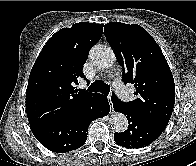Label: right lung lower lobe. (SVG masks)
Here are the masks:
<instances>
[{
    "label": "right lung lower lobe",
    "mask_w": 196,
    "mask_h": 166,
    "mask_svg": "<svg viewBox=\"0 0 196 166\" xmlns=\"http://www.w3.org/2000/svg\"><path fill=\"white\" fill-rule=\"evenodd\" d=\"M109 110L107 97L98 93L72 114L31 126V131L47 149L58 153L69 152L84 145L90 122L106 116Z\"/></svg>",
    "instance_id": "obj_1"
}]
</instances>
